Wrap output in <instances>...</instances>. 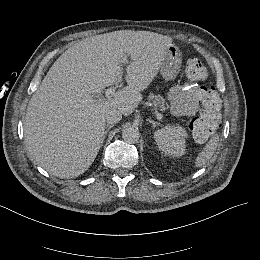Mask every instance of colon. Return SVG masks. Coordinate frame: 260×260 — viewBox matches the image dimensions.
<instances>
[{
	"instance_id": "5ec220e1",
	"label": "colon",
	"mask_w": 260,
	"mask_h": 260,
	"mask_svg": "<svg viewBox=\"0 0 260 260\" xmlns=\"http://www.w3.org/2000/svg\"><path fill=\"white\" fill-rule=\"evenodd\" d=\"M186 78L189 82L205 81L207 79V70L200 59L190 58L186 67ZM221 110L215 114H209L213 118L220 114Z\"/></svg>"
}]
</instances>
